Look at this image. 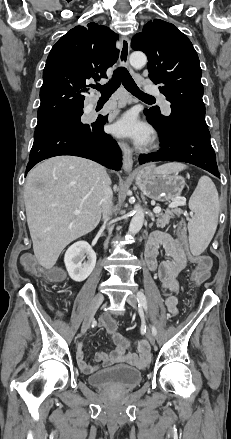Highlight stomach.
Instances as JSON below:
<instances>
[{"label":"stomach","instance_id":"obj_1","mask_svg":"<svg viewBox=\"0 0 231 439\" xmlns=\"http://www.w3.org/2000/svg\"><path fill=\"white\" fill-rule=\"evenodd\" d=\"M141 192L152 200L176 199L185 186V180L177 173H162L152 165L137 168L131 173Z\"/></svg>","mask_w":231,"mask_h":439}]
</instances>
